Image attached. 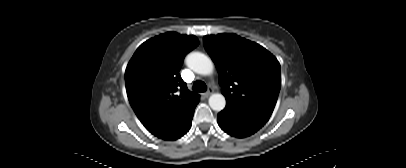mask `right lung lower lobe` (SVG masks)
Masks as SVG:
<instances>
[{"label": "right lung lower lobe", "mask_w": 406, "mask_h": 168, "mask_svg": "<svg viewBox=\"0 0 406 168\" xmlns=\"http://www.w3.org/2000/svg\"><path fill=\"white\" fill-rule=\"evenodd\" d=\"M197 104L198 103H196L183 117V119L179 121L176 127L164 138L165 140H176L189 131L192 124L194 110Z\"/></svg>", "instance_id": "obj_1"}]
</instances>
